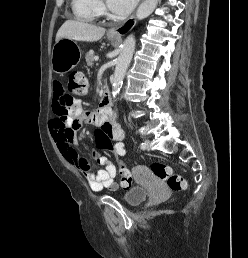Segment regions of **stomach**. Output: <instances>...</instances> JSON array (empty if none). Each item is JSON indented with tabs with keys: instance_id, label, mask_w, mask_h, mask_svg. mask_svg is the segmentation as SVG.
<instances>
[{
	"instance_id": "0dacf381",
	"label": "stomach",
	"mask_w": 248,
	"mask_h": 258,
	"mask_svg": "<svg viewBox=\"0 0 248 258\" xmlns=\"http://www.w3.org/2000/svg\"><path fill=\"white\" fill-rule=\"evenodd\" d=\"M109 40L116 41L115 37L108 36ZM82 52L76 41L62 38L55 43L51 54V67L57 74H65L72 70L81 60Z\"/></svg>"
}]
</instances>
